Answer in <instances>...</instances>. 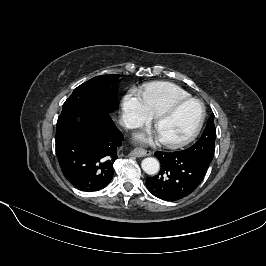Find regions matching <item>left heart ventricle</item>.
Listing matches in <instances>:
<instances>
[{"label":"left heart ventricle","mask_w":266,"mask_h":266,"mask_svg":"<svg viewBox=\"0 0 266 266\" xmlns=\"http://www.w3.org/2000/svg\"><path fill=\"white\" fill-rule=\"evenodd\" d=\"M202 108L197 103H190L167 117L156 128L161 140H179L188 136L197 126Z\"/></svg>","instance_id":"1"}]
</instances>
